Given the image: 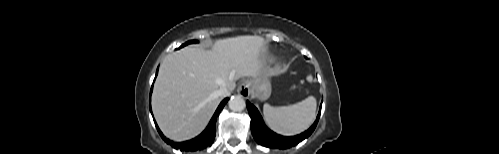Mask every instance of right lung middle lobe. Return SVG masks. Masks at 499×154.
<instances>
[{"mask_svg":"<svg viewBox=\"0 0 499 154\" xmlns=\"http://www.w3.org/2000/svg\"><path fill=\"white\" fill-rule=\"evenodd\" d=\"M192 43H196V41L195 40L188 41V42L184 43L181 47L186 46L188 44H192Z\"/></svg>","mask_w":499,"mask_h":154,"instance_id":"dd1d6c3e","label":"right lung middle lobe"}]
</instances>
